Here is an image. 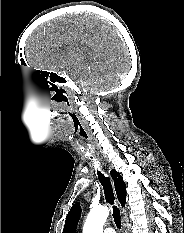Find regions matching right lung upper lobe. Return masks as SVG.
Here are the masks:
<instances>
[{
  "mask_svg": "<svg viewBox=\"0 0 184 233\" xmlns=\"http://www.w3.org/2000/svg\"><path fill=\"white\" fill-rule=\"evenodd\" d=\"M110 174H111V177L114 181L115 190H116L118 200L120 201L122 206H125V201H126L125 182L123 181L122 176L116 170L112 169ZM81 211L82 210H81L80 203H76L72 206V208L70 209V211L66 217L63 233H75V230H76L77 225H78V221H79L80 216H81Z\"/></svg>",
  "mask_w": 184,
  "mask_h": 233,
  "instance_id": "1",
  "label": "right lung upper lobe"
}]
</instances>
